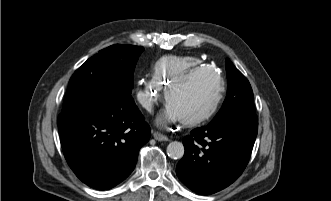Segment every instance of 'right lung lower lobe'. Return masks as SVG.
<instances>
[{"mask_svg": "<svg viewBox=\"0 0 331 201\" xmlns=\"http://www.w3.org/2000/svg\"><path fill=\"white\" fill-rule=\"evenodd\" d=\"M58 128L68 165L83 183L99 190L131 174L151 135L131 96L61 113Z\"/></svg>", "mask_w": 331, "mask_h": 201, "instance_id": "1", "label": "right lung lower lobe"}]
</instances>
